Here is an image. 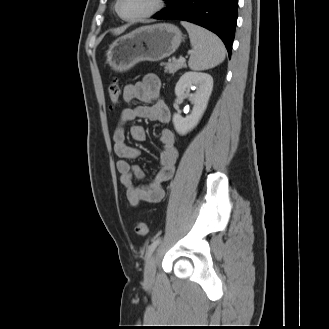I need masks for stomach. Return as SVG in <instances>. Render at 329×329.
Listing matches in <instances>:
<instances>
[{
	"label": "stomach",
	"instance_id": "obj_1",
	"mask_svg": "<svg viewBox=\"0 0 329 329\" xmlns=\"http://www.w3.org/2000/svg\"><path fill=\"white\" fill-rule=\"evenodd\" d=\"M183 39L169 23L143 26L117 38L106 52V62L115 71H126L141 61H160L173 54Z\"/></svg>",
	"mask_w": 329,
	"mask_h": 329
}]
</instances>
